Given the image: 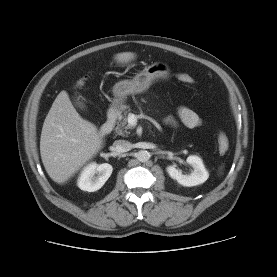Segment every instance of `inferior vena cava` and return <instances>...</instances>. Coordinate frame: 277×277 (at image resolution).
<instances>
[{"instance_id":"obj_1","label":"inferior vena cava","mask_w":277,"mask_h":277,"mask_svg":"<svg viewBox=\"0 0 277 277\" xmlns=\"http://www.w3.org/2000/svg\"><path fill=\"white\" fill-rule=\"evenodd\" d=\"M113 147L116 152L124 153L131 150L132 144L126 140H116Z\"/></svg>"}]
</instances>
